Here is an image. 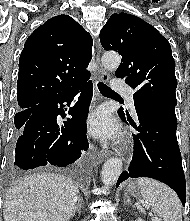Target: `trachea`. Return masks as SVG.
I'll return each instance as SVG.
<instances>
[{"label": "trachea", "mask_w": 190, "mask_h": 221, "mask_svg": "<svg viewBox=\"0 0 190 221\" xmlns=\"http://www.w3.org/2000/svg\"><path fill=\"white\" fill-rule=\"evenodd\" d=\"M98 89L103 95H117L112 89L106 86L104 83H98Z\"/></svg>", "instance_id": "3493384b"}]
</instances>
